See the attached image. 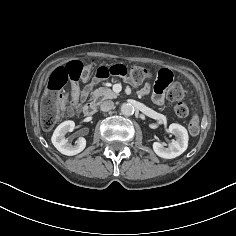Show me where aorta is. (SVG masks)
<instances>
[{
  "label": "aorta",
  "mask_w": 236,
  "mask_h": 236,
  "mask_svg": "<svg viewBox=\"0 0 236 236\" xmlns=\"http://www.w3.org/2000/svg\"><path fill=\"white\" fill-rule=\"evenodd\" d=\"M134 112V107L129 103H123L121 106V113L125 116H130Z\"/></svg>",
  "instance_id": "1"
}]
</instances>
